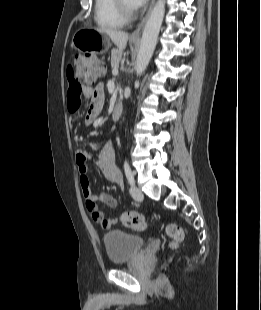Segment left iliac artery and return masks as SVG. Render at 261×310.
Wrapping results in <instances>:
<instances>
[{
	"label": "left iliac artery",
	"mask_w": 261,
	"mask_h": 310,
	"mask_svg": "<svg viewBox=\"0 0 261 310\" xmlns=\"http://www.w3.org/2000/svg\"><path fill=\"white\" fill-rule=\"evenodd\" d=\"M124 171L129 184L134 186L135 185L134 176L127 161L124 162Z\"/></svg>",
	"instance_id": "left-iliac-artery-1"
}]
</instances>
